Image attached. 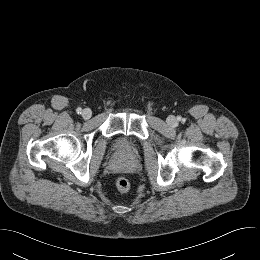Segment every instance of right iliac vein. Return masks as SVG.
<instances>
[{"instance_id": "1", "label": "right iliac vein", "mask_w": 260, "mask_h": 260, "mask_svg": "<svg viewBox=\"0 0 260 260\" xmlns=\"http://www.w3.org/2000/svg\"><path fill=\"white\" fill-rule=\"evenodd\" d=\"M91 116H92V111H91L90 109L86 108V109H84V110L82 111V117H83V119L88 120V119L91 118Z\"/></svg>"}]
</instances>
